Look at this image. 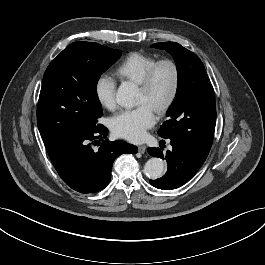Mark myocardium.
Wrapping results in <instances>:
<instances>
[{
    "mask_svg": "<svg viewBox=\"0 0 265 265\" xmlns=\"http://www.w3.org/2000/svg\"><path fill=\"white\" fill-rule=\"evenodd\" d=\"M163 65H168L172 69L173 82L168 97L155 108V112L158 115H163L168 112L177 99L181 83V73L178 64L174 60L168 58L158 60L148 68L142 80L138 84L139 89L142 92L149 93L152 89L155 73L159 69V67Z\"/></svg>",
    "mask_w": 265,
    "mask_h": 265,
    "instance_id": "myocardium-1",
    "label": "myocardium"
}]
</instances>
